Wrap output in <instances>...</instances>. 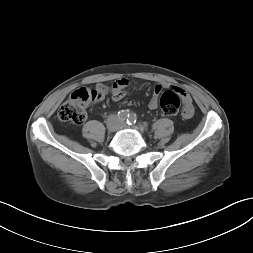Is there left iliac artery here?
<instances>
[{"mask_svg": "<svg viewBox=\"0 0 253 253\" xmlns=\"http://www.w3.org/2000/svg\"><path fill=\"white\" fill-rule=\"evenodd\" d=\"M137 122V117H136V114L134 113H129L128 114V118H127V123L129 125H133Z\"/></svg>", "mask_w": 253, "mask_h": 253, "instance_id": "44dca946", "label": "left iliac artery"}]
</instances>
